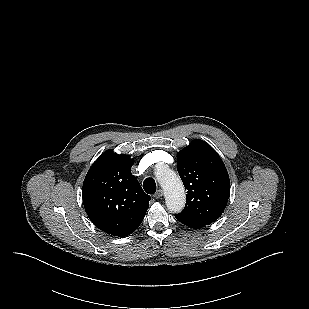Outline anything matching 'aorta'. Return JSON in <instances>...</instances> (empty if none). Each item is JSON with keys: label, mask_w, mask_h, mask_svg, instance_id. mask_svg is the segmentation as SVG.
Listing matches in <instances>:
<instances>
[{"label": "aorta", "mask_w": 309, "mask_h": 309, "mask_svg": "<svg viewBox=\"0 0 309 309\" xmlns=\"http://www.w3.org/2000/svg\"><path fill=\"white\" fill-rule=\"evenodd\" d=\"M156 178L165 192V202L168 210L179 213L186 201L184 185L180 177L169 167L160 166L156 171Z\"/></svg>", "instance_id": "aorta-1"}]
</instances>
